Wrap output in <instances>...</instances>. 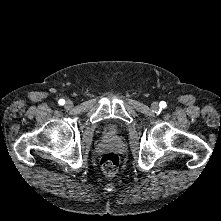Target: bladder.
I'll return each instance as SVG.
<instances>
[{
    "mask_svg": "<svg viewBox=\"0 0 221 221\" xmlns=\"http://www.w3.org/2000/svg\"><path fill=\"white\" fill-rule=\"evenodd\" d=\"M105 132H106V135L110 138L114 137L117 135V131L115 130V128L111 125H108L106 126L105 128Z\"/></svg>",
    "mask_w": 221,
    "mask_h": 221,
    "instance_id": "bladder-1",
    "label": "bladder"
}]
</instances>
